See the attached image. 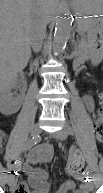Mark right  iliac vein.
Instances as JSON below:
<instances>
[{
    "label": "right iliac vein",
    "mask_w": 103,
    "mask_h": 193,
    "mask_svg": "<svg viewBox=\"0 0 103 193\" xmlns=\"http://www.w3.org/2000/svg\"><path fill=\"white\" fill-rule=\"evenodd\" d=\"M41 133V128L38 124L34 125L32 130H31V135L32 136H37ZM15 178L14 175H10L8 178V185L12 186L14 184Z\"/></svg>",
    "instance_id": "right-iliac-vein-1"
}]
</instances>
